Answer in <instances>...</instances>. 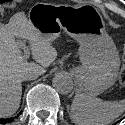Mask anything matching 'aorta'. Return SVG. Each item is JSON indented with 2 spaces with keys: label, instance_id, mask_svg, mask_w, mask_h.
Masks as SVG:
<instances>
[{
  "label": "aorta",
  "instance_id": "aorta-1",
  "mask_svg": "<svg viewBox=\"0 0 125 125\" xmlns=\"http://www.w3.org/2000/svg\"><path fill=\"white\" fill-rule=\"evenodd\" d=\"M54 89L60 94H68L73 89L72 79L65 73H58L52 80Z\"/></svg>",
  "mask_w": 125,
  "mask_h": 125
}]
</instances>
